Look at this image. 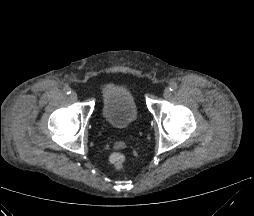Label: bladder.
<instances>
[{"instance_id":"31cf9c89","label":"bladder","mask_w":254,"mask_h":216,"mask_svg":"<svg viewBox=\"0 0 254 216\" xmlns=\"http://www.w3.org/2000/svg\"><path fill=\"white\" fill-rule=\"evenodd\" d=\"M102 110L105 122L116 131L130 129L137 118V108L132 90L112 83L102 92Z\"/></svg>"}]
</instances>
